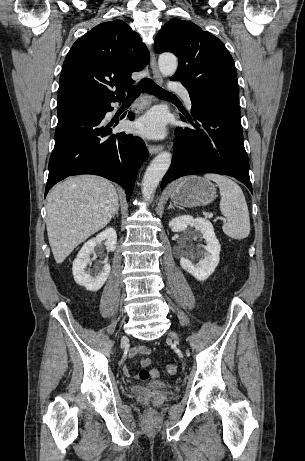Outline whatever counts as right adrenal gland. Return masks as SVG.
Listing matches in <instances>:
<instances>
[{
	"mask_svg": "<svg viewBox=\"0 0 305 461\" xmlns=\"http://www.w3.org/2000/svg\"><path fill=\"white\" fill-rule=\"evenodd\" d=\"M118 211H119V205L117 206V208L115 210V213L112 216L113 218H115V216H117V217L119 216Z\"/></svg>",
	"mask_w": 305,
	"mask_h": 461,
	"instance_id": "2a0ac1e0",
	"label": "right adrenal gland"
}]
</instances>
